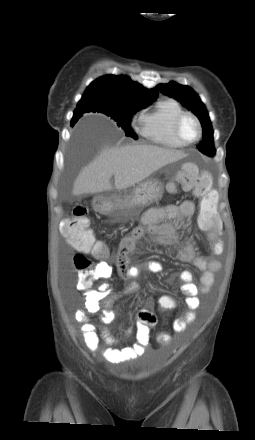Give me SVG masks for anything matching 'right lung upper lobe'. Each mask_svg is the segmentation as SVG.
Returning <instances> with one entry per match:
<instances>
[{"label":"right lung upper lobe","instance_id":"1","mask_svg":"<svg viewBox=\"0 0 255 440\" xmlns=\"http://www.w3.org/2000/svg\"><path fill=\"white\" fill-rule=\"evenodd\" d=\"M158 96L157 90H148L137 82H133L127 76L105 75L93 81L86 89L83 97H93L96 99L113 103H135L154 101ZM77 120L76 114L73 115L71 124Z\"/></svg>","mask_w":255,"mask_h":440}]
</instances>
